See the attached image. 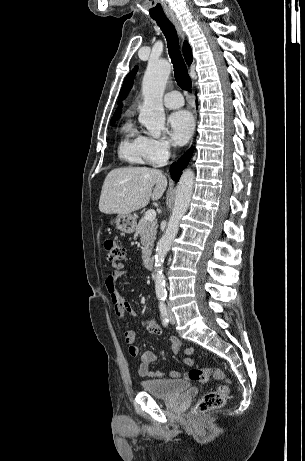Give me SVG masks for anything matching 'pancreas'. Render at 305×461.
Masks as SVG:
<instances>
[{
  "instance_id": "cf45deb5",
  "label": "pancreas",
  "mask_w": 305,
  "mask_h": 461,
  "mask_svg": "<svg viewBox=\"0 0 305 461\" xmlns=\"http://www.w3.org/2000/svg\"><path fill=\"white\" fill-rule=\"evenodd\" d=\"M157 228V221H148L145 218H141L136 225L134 237H141L143 258L149 256L151 253L157 235Z\"/></svg>"
}]
</instances>
